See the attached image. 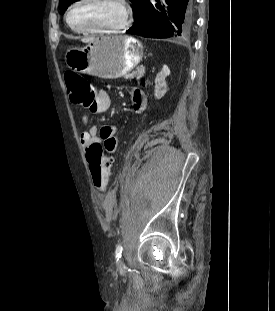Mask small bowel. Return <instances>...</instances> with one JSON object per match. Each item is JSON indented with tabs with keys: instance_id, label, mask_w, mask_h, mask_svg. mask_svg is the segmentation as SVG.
Wrapping results in <instances>:
<instances>
[{
	"instance_id": "c3829d8e",
	"label": "small bowel",
	"mask_w": 275,
	"mask_h": 311,
	"mask_svg": "<svg viewBox=\"0 0 275 311\" xmlns=\"http://www.w3.org/2000/svg\"><path fill=\"white\" fill-rule=\"evenodd\" d=\"M131 99L133 103V110L139 113L144 106V93L139 88H134L131 91ZM92 113H103L109 107V100L105 93H101L96 99L92 100L85 106ZM83 128L80 132V141L86 148L93 142H100L108 152H114L117 147L115 125H106L103 127L91 126L88 127L89 115L83 114L81 117Z\"/></svg>"
}]
</instances>
